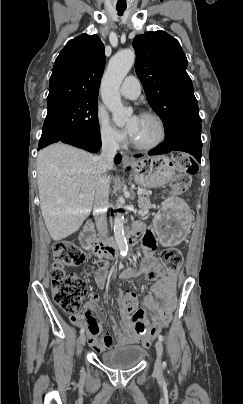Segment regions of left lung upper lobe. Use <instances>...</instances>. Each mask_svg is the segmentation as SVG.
Masks as SVG:
<instances>
[{
    "instance_id": "obj_1",
    "label": "left lung upper lobe",
    "mask_w": 243,
    "mask_h": 404,
    "mask_svg": "<svg viewBox=\"0 0 243 404\" xmlns=\"http://www.w3.org/2000/svg\"><path fill=\"white\" fill-rule=\"evenodd\" d=\"M135 71L147 100L161 117L167 132L182 121H201L187 58L179 42L164 31L135 37Z\"/></svg>"
}]
</instances>
